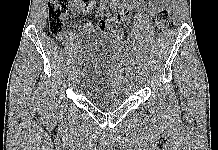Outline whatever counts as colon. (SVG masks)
<instances>
[{"instance_id":"obj_1","label":"colon","mask_w":218,"mask_h":150,"mask_svg":"<svg viewBox=\"0 0 218 150\" xmlns=\"http://www.w3.org/2000/svg\"><path fill=\"white\" fill-rule=\"evenodd\" d=\"M72 0H50L48 3L49 30L59 36L62 33L63 23L66 19ZM122 23V16L118 13L111 18L102 20L98 23V28L110 34L115 40H120L124 36V32L118 27ZM170 24V12L163 8L159 10L155 16L153 30L156 34H161Z\"/></svg>"}]
</instances>
